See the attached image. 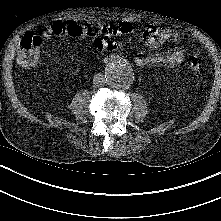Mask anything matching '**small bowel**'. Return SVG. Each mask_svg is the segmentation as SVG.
<instances>
[{"label":"small bowel","instance_id":"small-bowel-1","mask_svg":"<svg viewBox=\"0 0 221 221\" xmlns=\"http://www.w3.org/2000/svg\"><path fill=\"white\" fill-rule=\"evenodd\" d=\"M133 31V27L128 23H121L116 26L106 24L95 28L83 23L55 21L47 27L39 37L41 41L43 39H50L52 36L90 38L95 49L102 53L121 50L122 45L113 41L112 38L132 33ZM179 37L180 34L177 32L159 30L154 27L147 28L139 34V38L150 48H158L171 38L176 40ZM184 57V50L176 49L168 53H156L148 56L137 54L134 57V63L140 68L164 67L172 69L179 66L183 62Z\"/></svg>","mask_w":221,"mask_h":221}]
</instances>
